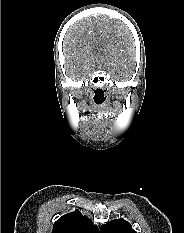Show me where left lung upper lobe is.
<instances>
[{"label": "left lung upper lobe", "instance_id": "1", "mask_svg": "<svg viewBox=\"0 0 184 233\" xmlns=\"http://www.w3.org/2000/svg\"><path fill=\"white\" fill-rule=\"evenodd\" d=\"M100 233H137L132 229V226L129 222L120 218L118 220H112L106 225H102Z\"/></svg>", "mask_w": 184, "mask_h": 233}]
</instances>
